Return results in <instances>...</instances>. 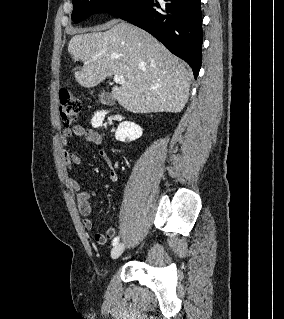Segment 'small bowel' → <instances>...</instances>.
<instances>
[{"label":"small bowel","instance_id":"small-bowel-1","mask_svg":"<svg viewBox=\"0 0 284 319\" xmlns=\"http://www.w3.org/2000/svg\"><path fill=\"white\" fill-rule=\"evenodd\" d=\"M84 137L88 142L100 145L103 142L102 135L93 129H86L81 125H75L72 128L64 129L61 142L63 145L68 143V140L73 137ZM100 156L109 161L108 154L105 150H100ZM64 163L67 167L72 168L82 163V158L75 152L65 151L64 152ZM110 180L112 182L117 181L118 175L115 170L110 171ZM71 188L77 192L76 200L79 213L82 215V224L86 230L93 228V222L90 218L92 213L91 198L95 196V193L90 190H82L80 182L76 179H70ZM116 230L114 228H108L105 233L96 232L93 236L94 241L98 244H104L108 239L115 236Z\"/></svg>","mask_w":284,"mask_h":319}]
</instances>
